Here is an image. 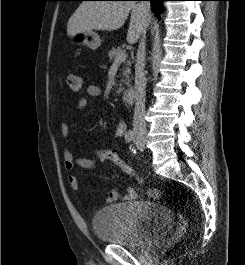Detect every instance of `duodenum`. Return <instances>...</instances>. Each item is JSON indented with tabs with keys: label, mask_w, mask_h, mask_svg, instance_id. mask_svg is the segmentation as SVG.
I'll list each match as a JSON object with an SVG mask.
<instances>
[{
	"label": "duodenum",
	"mask_w": 245,
	"mask_h": 265,
	"mask_svg": "<svg viewBox=\"0 0 245 265\" xmlns=\"http://www.w3.org/2000/svg\"><path fill=\"white\" fill-rule=\"evenodd\" d=\"M135 89L131 88L124 92L123 94V101L126 105L130 106L134 103L135 100Z\"/></svg>",
	"instance_id": "duodenum-1"
}]
</instances>
